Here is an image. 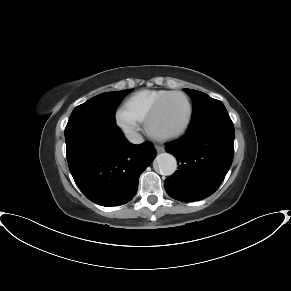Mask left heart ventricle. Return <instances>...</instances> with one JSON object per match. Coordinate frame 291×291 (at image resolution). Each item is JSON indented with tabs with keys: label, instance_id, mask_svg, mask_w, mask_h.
<instances>
[{
	"label": "left heart ventricle",
	"instance_id": "b2bd125f",
	"mask_svg": "<svg viewBox=\"0 0 291 291\" xmlns=\"http://www.w3.org/2000/svg\"><path fill=\"white\" fill-rule=\"evenodd\" d=\"M187 104L180 95L168 97L161 106L156 118L155 127L160 131H171L179 128L186 120Z\"/></svg>",
	"mask_w": 291,
	"mask_h": 291
}]
</instances>
